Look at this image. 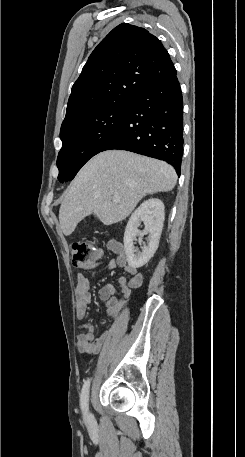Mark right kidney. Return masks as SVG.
I'll list each match as a JSON object with an SVG mask.
<instances>
[{"label": "right kidney", "instance_id": "obj_1", "mask_svg": "<svg viewBox=\"0 0 245 457\" xmlns=\"http://www.w3.org/2000/svg\"><path fill=\"white\" fill-rule=\"evenodd\" d=\"M164 218V204L160 198L144 200L131 214L124 233V249L129 267H132V269L143 267L156 253ZM141 222L145 224L144 233L138 229ZM146 233H149L148 245L141 247L142 253H140V251H136L133 241H136V237H144Z\"/></svg>", "mask_w": 245, "mask_h": 457}]
</instances>
